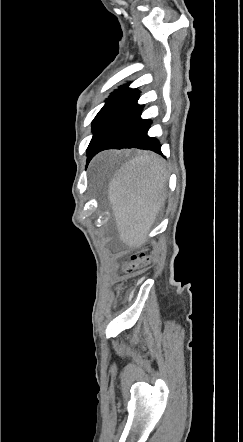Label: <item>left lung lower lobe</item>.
<instances>
[{"label": "left lung lower lobe", "mask_w": 243, "mask_h": 442, "mask_svg": "<svg viewBox=\"0 0 243 442\" xmlns=\"http://www.w3.org/2000/svg\"><path fill=\"white\" fill-rule=\"evenodd\" d=\"M139 93L134 89L126 94L99 122L87 148V164L106 149L138 148L162 155L158 140L147 135L151 120L141 119Z\"/></svg>", "instance_id": "left-lung-lower-lobe-1"}]
</instances>
